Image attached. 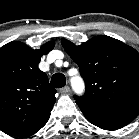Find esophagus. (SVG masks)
Returning a JSON list of instances; mask_svg holds the SVG:
<instances>
[{
    "mask_svg": "<svg viewBox=\"0 0 139 139\" xmlns=\"http://www.w3.org/2000/svg\"><path fill=\"white\" fill-rule=\"evenodd\" d=\"M60 92H61L62 94H67V93L70 92V87H69V86H64V87H62V88L60 89Z\"/></svg>",
    "mask_w": 139,
    "mask_h": 139,
    "instance_id": "obj_1",
    "label": "esophagus"
}]
</instances>
